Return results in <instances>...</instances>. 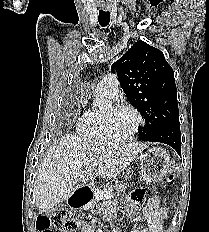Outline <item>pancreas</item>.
Masks as SVG:
<instances>
[{"instance_id":"pancreas-1","label":"pancreas","mask_w":209,"mask_h":232,"mask_svg":"<svg viewBox=\"0 0 209 232\" xmlns=\"http://www.w3.org/2000/svg\"><path fill=\"white\" fill-rule=\"evenodd\" d=\"M125 190H126V184H125V181L123 180L107 185L104 187L103 190H98L95 193L94 195L95 199L89 205H87L85 209L92 210L94 206L99 205L101 200L105 199V195L113 194L114 191L115 193L119 194V193L124 192ZM111 204H115V202L111 201Z\"/></svg>"}]
</instances>
